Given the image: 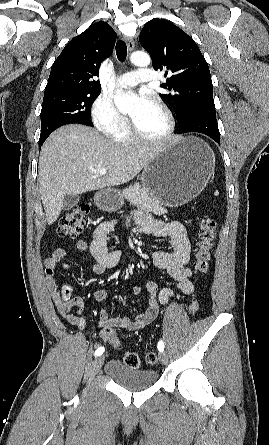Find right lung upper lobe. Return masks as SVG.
<instances>
[{
	"instance_id": "obj_1",
	"label": "right lung upper lobe",
	"mask_w": 269,
	"mask_h": 445,
	"mask_svg": "<svg viewBox=\"0 0 269 445\" xmlns=\"http://www.w3.org/2000/svg\"><path fill=\"white\" fill-rule=\"evenodd\" d=\"M116 41L115 31L107 22L94 23L74 37L52 65L45 92L101 91L95 78L100 64L111 55Z\"/></svg>"
}]
</instances>
